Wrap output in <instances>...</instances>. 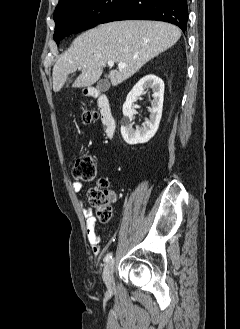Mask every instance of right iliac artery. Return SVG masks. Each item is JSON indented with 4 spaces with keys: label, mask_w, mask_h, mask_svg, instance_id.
<instances>
[{
    "label": "right iliac artery",
    "mask_w": 240,
    "mask_h": 329,
    "mask_svg": "<svg viewBox=\"0 0 240 329\" xmlns=\"http://www.w3.org/2000/svg\"><path fill=\"white\" fill-rule=\"evenodd\" d=\"M112 259V253H109L105 256L104 261L109 262Z\"/></svg>",
    "instance_id": "right-iliac-artery-1"
}]
</instances>
